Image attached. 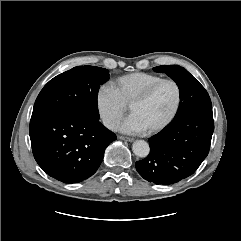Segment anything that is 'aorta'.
Segmentation results:
<instances>
[{
  "label": "aorta",
  "instance_id": "aorta-1",
  "mask_svg": "<svg viewBox=\"0 0 241 241\" xmlns=\"http://www.w3.org/2000/svg\"><path fill=\"white\" fill-rule=\"evenodd\" d=\"M133 153L141 158L146 157L150 152L149 144L144 140H137L132 145Z\"/></svg>",
  "mask_w": 241,
  "mask_h": 241
}]
</instances>
